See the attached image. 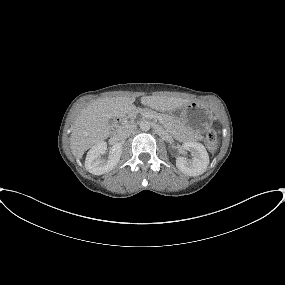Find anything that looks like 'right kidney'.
<instances>
[{
  "label": "right kidney",
  "instance_id": "ca27d5eb",
  "mask_svg": "<svg viewBox=\"0 0 285 285\" xmlns=\"http://www.w3.org/2000/svg\"><path fill=\"white\" fill-rule=\"evenodd\" d=\"M107 150V143L102 141L94 145L85 160V168L88 172L94 175H102L111 171L120 161L122 154V145L120 143L114 144L110 151L108 159L101 158Z\"/></svg>",
  "mask_w": 285,
  "mask_h": 285
}]
</instances>
